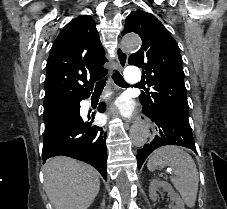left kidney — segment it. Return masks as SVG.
<instances>
[{
    "mask_svg": "<svg viewBox=\"0 0 227 209\" xmlns=\"http://www.w3.org/2000/svg\"><path fill=\"white\" fill-rule=\"evenodd\" d=\"M160 187H162L164 191H167L168 197H170L171 201L175 203L174 209H184V201H182L178 193H175L173 187H171L169 183H166V181H160V179H152V181H150L149 197L150 199H152V201H156L157 199L156 191H158Z\"/></svg>",
    "mask_w": 227,
    "mask_h": 209,
    "instance_id": "obj_1",
    "label": "left kidney"
}]
</instances>
